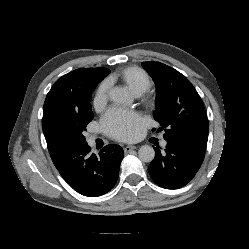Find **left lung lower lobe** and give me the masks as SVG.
Instances as JSON below:
<instances>
[{
    "label": "left lung lower lobe",
    "mask_w": 249,
    "mask_h": 249,
    "mask_svg": "<svg viewBox=\"0 0 249 249\" xmlns=\"http://www.w3.org/2000/svg\"><path fill=\"white\" fill-rule=\"evenodd\" d=\"M205 151L186 144L167 142L165 152L155 148L148 167L153 181L166 189H178L189 183L199 170Z\"/></svg>",
    "instance_id": "left-lung-lower-lobe-1"
}]
</instances>
